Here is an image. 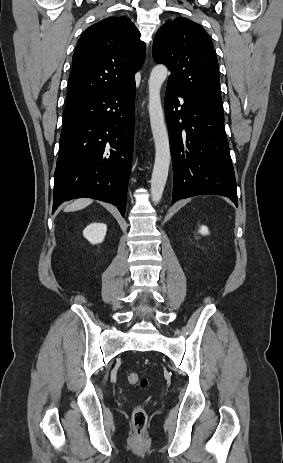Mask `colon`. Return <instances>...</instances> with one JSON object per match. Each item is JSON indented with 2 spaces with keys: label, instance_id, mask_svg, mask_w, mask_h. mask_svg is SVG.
<instances>
[{
  "label": "colon",
  "instance_id": "5ec220e1",
  "mask_svg": "<svg viewBox=\"0 0 283 463\" xmlns=\"http://www.w3.org/2000/svg\"><path fill=\"white\" fill-rule=\"evenodd\" d=\"M127 379L130 384L138 385L141 389H146L148 387V379L139 376L137 373H128ZM132 422L135 436L142 437L147 423V413L142 406L137 405L134 407L132 411Z\"/></svg>",
  "mask_w": 283,
  "mask_h": 463
}]
</instances>
